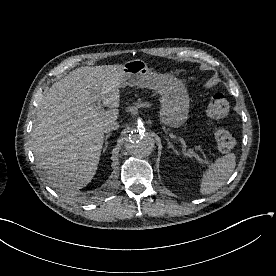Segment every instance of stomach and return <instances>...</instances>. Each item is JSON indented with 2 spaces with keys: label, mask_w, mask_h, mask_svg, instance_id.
I'll list each match as a JSON object with an SVG mask.
<instances>
[{
  "label": "stomach",
  "mask_w": 276,
  "mask_h": 276,
  "mask_svg": "<svg viewBox=\"0 0 276 276\" xmlns=\"http://www.w3.org/2000/svg\"><path fill=\"white\" fill-rule=\"evenodd\" d=\"M137 86L155 90L161 97L160 121L170 127L181 126L188 117L189 97L181 80L172 74L152 71L140 59L123 64L120 87Z\"/></svg>",
  "instance_id": "obj_1"
}]
</instances>
